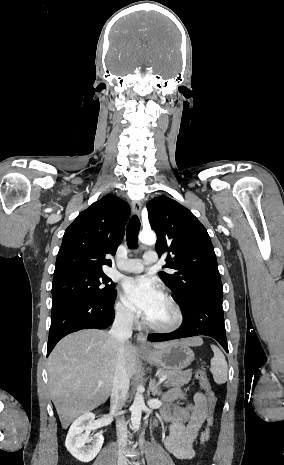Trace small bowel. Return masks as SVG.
<instances>
[{
    "label": "small bowel",
    "mask_w": 284,
    "mask_h": 465,
    "mask_svg": "<svg viewBox=\"0 0 284 465\" xmlns=\"http://www.w3.org/2000/svg\"><path fill=\"white\" fill-rule=\"evenodd\" d=\"M184 398L183 391L177 388L168 391L165 395V400L169 403ZM163 418L168 423V435L164 440L167 451L179 461L192 460L196 455L193 443L200 428L203 425L211 427L213 423L206 397L197 392L191 403L166 409Z\"/></svg>",
    "instance_id": "c3829d8e"
}]
</instances>
